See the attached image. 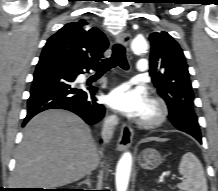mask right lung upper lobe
Listing matches in <instances>:
<instances>
[{"mask_svg":"<svg viewBox=\"0 0 218 191\" xmlns=\"http://www.w3.org/2000/svg\"><path fill=\"white\" fill-rule=\"evenodd\" d=\"M107 47L106 36L81 19L66 24L52 35L43 48L41 58L54 57L82 66H97Z\"/></svg>","mask_w":218,"mask_h":191,"instance_id":"1","label":"right lung upper lobe"}]
</instances>
